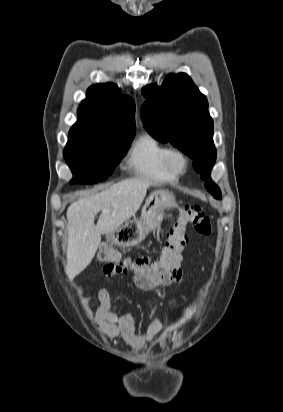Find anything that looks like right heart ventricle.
Here are the masks:
<instances>
[{"mask_svg":"<svg viewBox=\"0 0 283 412\" xmlns=\"http://www.w3.org/2000/svg\"><path fill=\"white\" fill-rule=\"evenodd\" d=\"M169 145L156 136L144 133L132 144L127 164L135 173L158 181L171 182L176 179L165 167V155Z\"/></svg>","mask_w":283,"mask_h":412,"instance_id":"right-heart-ventricle-1","label":"right heart ventricle"}]
</instances>
